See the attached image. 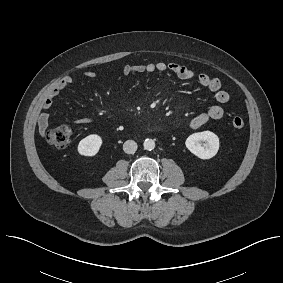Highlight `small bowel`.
I'll return each instance as SVG.
<instances>
[{"label":"small bowel","mask_w":283,"mask_h":283,"mask_svg":"<svg viewBox=\"0 0 283 283\" xmlns=\"http://www.w3.org/2000/svg\"><path fill=\"white\" fill-rule=\"evenodd\" d=\"M167 71L173 73L175 76L182 80H192L196 76L191 69L175 62H150L138 65H125L121 69L122 74L125 76H129L132 74ZM84 76L88 79H93L95 77V73L92 71H87L84 73ZM72 81V77H64L61 82L50 92L48 97L43 101L41 112L38 116V127L40 132H45L46 129L49 127L51 116L47 111L52 107L53 99L57 95H59L64 89H66L72 83ZM197 81L201 86L215 93V100L217 104L212 105L205 112L194 116L189 122V127L191 129H198L210 120L221 119L224 115V109L222 105L228 103V101L230 100L228 92L222 89L221 82L218 78L211 77L207 74L202 73L197 75ZM89 121V117H81L75 120L76 123H87Z\"/></svg>","instance_id":"c3829d8e"}]
</instances>
